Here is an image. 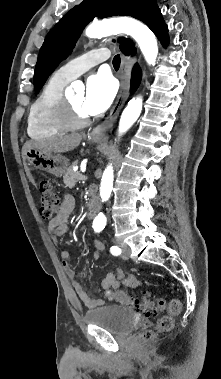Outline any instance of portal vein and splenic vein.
<instances>
[{
  "instance_id": "obj_1",
  "label": "portal vein and splenic vein",
  "mask_w": 221,
  "mask_h": 379,
  "mask_svg": "<svg viewBox=\"0 0 221 379\" xmlns=\"http://www.w3.org/2000/svg\"><path fill=\"white\" fill-rule=\"evenodd\" d=\"M85 172V170H82V173H84ZM82 177H85V176H82Z\"/></svg>"
}]
</instances>
